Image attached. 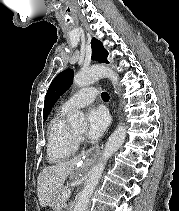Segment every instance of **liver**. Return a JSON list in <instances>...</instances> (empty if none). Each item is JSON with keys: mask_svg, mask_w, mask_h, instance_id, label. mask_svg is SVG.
I'll use <instances>...</instances> for the list:
<instances>
[{"mask_svg": "<svg viewBox=\"0 0 179 211\" xmlns=\"http://www.w3.org/2000/svg\"><path fill=\"white\" fill-rule=\"evenodd\" d=\"M81 158L76 157L57 165L48 166L38 176L37 196L42 207L51 204L56 194L61 191L69 175L78 171Z\"/></svg>", "mask_w": 179, "mask_h": 211, "instance_id": "liver-1", "label": "liver"}]
</instances>
